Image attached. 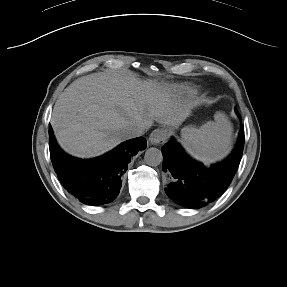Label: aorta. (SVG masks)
<instances>
[{"label": "aorta", "instance_id": "1", "mask_svg": "<svg viewBox=\"0 0 287 287\" xmlns=\"http://www.w3.org/2000/svg\"><path fill=\"white\" fill-rule=\"evenodd\" d=\"M144 161L149 166H158L163 161L161 150L155 147L148 148L144 155Z\"/></svg>", "mask_w": 287, "mask_h": 287}]
</instances>
